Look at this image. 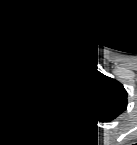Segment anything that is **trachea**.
<instances>
[{
    "label": "trachea",
    "instance_id": "obj_1",
    "mask_svg": "<svg viewBox=\"0 0 137 145\" xmlns=\"http://www.w3.org/2000/svg\"><path fill=\"white\" fill-rule=\"evenodd\" d=\"M65 79H66V81H68V77H66Z\"/></svg>",
    "mask_w": 137,
    "mask_h": 145
}]
</instances>
